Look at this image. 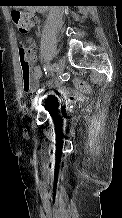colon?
Listing matches in <instances>:
<instances>
[{"instance_id": "5ec220e1", "label": "colon", "mask_w": 122, "mask_h": 218, "mask_svg": "<svg viewBox=\"0 0 122 218\" xmlns=\"http://www.w3.org/2000/svg\"><path fill=\"white\" fill-rule=\"evenodd\" d=\"M11 19L21 32H28L34 25V16L19 10L11 11ZM20 74L22 87L25 92L32 88L31 50L21 46L19 50Z\"/></svg>"}]
</instances>
